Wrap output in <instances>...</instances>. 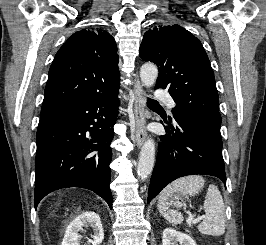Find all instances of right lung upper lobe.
I'll return each instance as SVG.
<instances>
[{
    "mask_svg": "<svg viewBox=\"0 0 266 245\" xmlns=\"http://www.w3.org/2000/svg\"><path fill=\"white\" fill-rule=\"evenodd\" d=\"M117 47L106 31L74 33L57 52L49 70L40 118L79 100L119 88Z\"/></svg>",
    "mask_w": 266,
    "mask_h": 245,
    "instance_id": "right-lung-upper-lobe-1",
    "label": "right lung upper lobe"
}]
</instances>
